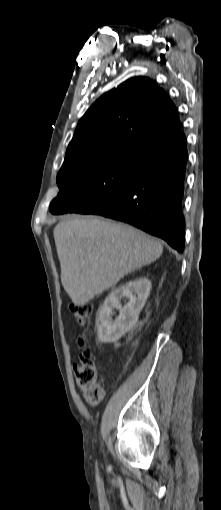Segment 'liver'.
I'll use <instances>...</instances> for the list:
<instances>
[{"label":"liver","instance_id":"1","mask_svg":"<svg viewBox=\"0 0 221 510\" xmlns=\"http://www.w3.org/2000/svg\"><path fill=\"white\" fill-rule=\"evenodd\" d=\"M53 234L62 285L78 306L156 261L163 251L161 243L144 232L98 217L66 219Z\"/></svg>","mask_w":221,"mask_h":510}]
</instances>
